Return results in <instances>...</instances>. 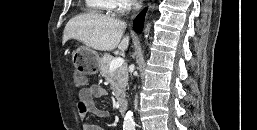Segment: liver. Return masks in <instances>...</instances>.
Wrapping results in <instances>:
<instances>
[{"instance_id":"obj_1","label":"liver","mask_w":257,"mask_h":130,"mask_svg":"<svg viewBox=\"0 0 257 130\" xmlns=\"http://www.w3.org/2000/svg\"><path fill=\"white\" fill-rule=\"evenodd\" d=\"M125 29L126 23L119 19L94 13L81 14L66 24L62 44L76 39L95 50L111 51L118 47L124 51L129 45V36L121 41Z\"/></svg>"}]
</instances>
